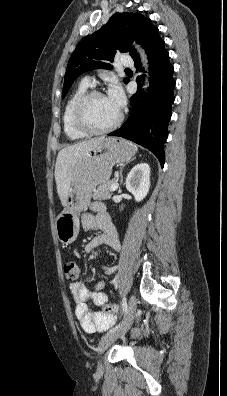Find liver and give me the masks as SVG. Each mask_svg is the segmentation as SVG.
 <instances>
[{
  "label": "liver",
  "mask_w": 227,
  "mask_h": 396,
  "mask_svg": "<svg viewBox=\"0 0 227 396\" xmlns=\"http://www.w3.org/2000/svg\"><path fill=\"white\" fill-rule=\"evenodd\" d=\"M105 137L85 140L59 151L55 165V181L57 193L63 206H66L67 197L70 190L73 167L88 152L95 149Z\"/></svg>",
  "instance_id": "6515ba94"
}]
</instances>
